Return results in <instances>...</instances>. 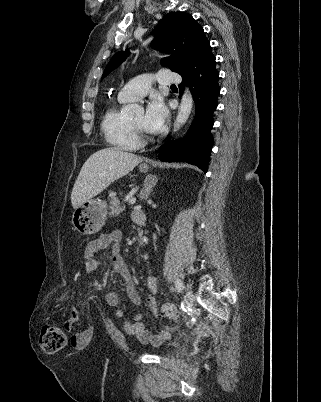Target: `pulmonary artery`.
Returning <instances> with one entry per match:
<instances>
[{"label": "pulmonary artery", "mask_w": 321, "mask_h": 402, "mask_svg": "<svg viewBox=\"0 0 321 402\" xmlns=\"http://www.w3.org/2000/svg\"><path fill=\"white\" fill-rule=\"evenodd\" d=\"M182 77L169 69L160 70L157 74H143L127 83L118 93L121 101H133L145 96L154 82L161 86L179 84Z\"/></svg>", "instance_id": "e3ab8cb5"}]
</instances>
